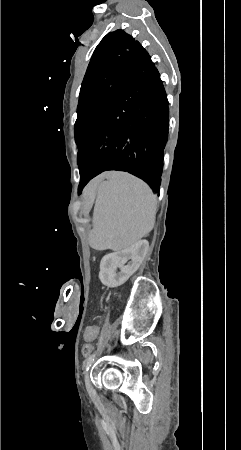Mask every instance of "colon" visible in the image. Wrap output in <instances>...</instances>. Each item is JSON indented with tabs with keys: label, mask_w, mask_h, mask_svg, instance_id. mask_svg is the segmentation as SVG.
<instances>
[{
	"label": "colon",
	"mask_w": 241,
	"mask_h": 450,
	"mask_svg": "<svg viewBox=\"0 0 241 450\" xmlns=\"http://www.w3.org/2000/svg\"><path fill=\"white\" fill-rule=\"evenodd\" d=\"M98 327H99V324L97 322H94L93 324H87L86 328L84 330V335L86 337H93L94 334L97 332ZM92 352H93V347L89 345L82 349L81 355L82 356L89 355Z\"/></svg>",
	"instance_id": "colon-1"
}]
</instances>
